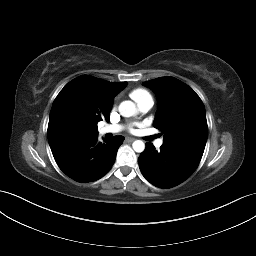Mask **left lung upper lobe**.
Here are the masks:
<instances>
[{
  "label": "left lung upper lobe",
  "mask_w": 256,
  "mask_h": 256,
  "mask_svg": "<svg viewBox=\"0 0 256 256\" xmlns=\"http://www.w3.org/2000/svg\"><path fill=\"white\" fill-rule=\"evenodd\" d=\"M143 85L158 98L154 127L165 134L162 147L199 164L208 135L205 108L199 96L173 77L157 78Z\"/></svg>",
  "instance_id": "5c2ea615"
}]
</instances>
